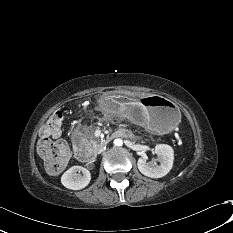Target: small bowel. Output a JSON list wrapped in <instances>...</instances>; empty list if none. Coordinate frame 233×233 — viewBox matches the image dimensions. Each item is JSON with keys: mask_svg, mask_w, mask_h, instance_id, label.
<instances>
[{"mask_svg": "<svg viewBox=\"0 0 233 233\" xmlns=\"http://www.w3.org/2000/svg\"><path fill=\"white\" fill-rule=\"evenodd\" d=\"M61 136V133H58L57 135H55L54 137L55 138H58V137H60Z\"/></svg>", "mask_w": 233, "mask_h": 233, "instance_id": "obj_1", "label": "small bowel"}]
</instances>
